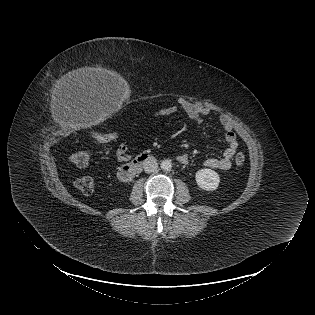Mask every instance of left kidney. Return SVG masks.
Listing matches in <instances>:
<instances>
[{
  "mask_svg": "<svg viewBox=\"0 0 315 315\" xmlns=\"http://www.w3.org/2000/svg\"><path fill=\"white\" fill-rule=\"evenodd\" d=\"M197 185L207 191L216 190L220 184L218 173L211 169H201L195 175Z\"/></svg>",
  "mask_w": 315,
  "mask_h": 315,
  "instance_id": "5707ae66",
  "label": "left kidney"
}]
</instances>
